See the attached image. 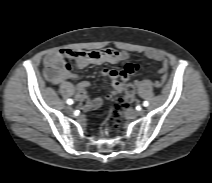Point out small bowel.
<instances>
[{"instance_id":"1","label":"small bowel","mask_w":212,"mask_h":183,"mask_svg":"<svg viewBox=\"0 0 212 183\" xmlns=\"http://www.w3.org/2000/svg\"><path fill=\"white\" fill-rule=\"evenodd\" d=\"M147 58L162 62L159 69L162 75V80L166 79L168 66L164 55L158 51H149L146 53ZM129 53L126 51H118L112 48L94 51H78L72 49H61L48 54L45 59V76L53 84H60L69 79H75L76 76L71 72V66L67 62L68 59L74 61L76 69H82L90 64H116L127 60ZM139 69L138 64L127 63L121 70L105 68L102 70V76L110 81L112 92L107 97L120 93L129 81L130 77ZM89 87V82L82 81L77 86L78 98L84 99L86 96V89ZM92 104H99V99L93 100ZM85 107L90 104L83 103Z\"/></svg>"}]
</instances>
